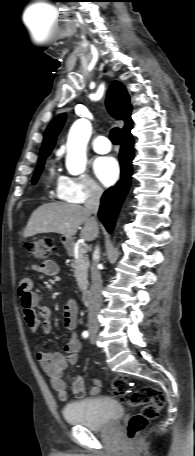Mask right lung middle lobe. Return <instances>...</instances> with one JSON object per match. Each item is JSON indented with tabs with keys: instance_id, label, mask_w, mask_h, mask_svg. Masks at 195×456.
<instances>
[{
	"instance_id": "dd1d6c3e",
	"label": "right lung middle lobe",
	"mask_w": 195,
	"mask_h": 456,
	"mask_svg": "<svg viewBox=\"0 0 195 456\" xmlns=\"http://www.w3.org/2000/svg\"><path fill=\"white\" fill-rule=\"evenodd\" d=\"M45 158L46 157H43L41 159L38 160V164H37V167H36V171L34 173V177L32 179V183L35 184L38 177L40 176L42 170H43V167H44V163H45Z\"/></svg>"
}]
</instances>
